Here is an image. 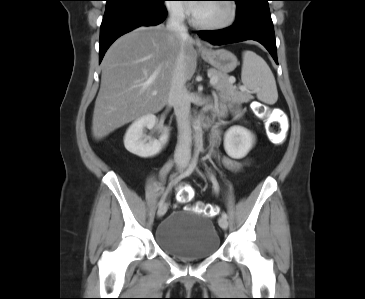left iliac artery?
<instances>
[{
	"label": "left iliac artery",
	"instance_id": "1",
	"mask_svg": "<svg viewBox=\"0 0 365 299\" xmlns=\"http://www.w3.org/2000/svg\"><path fill=\"white\" fill-rule=\"evenodd\" d=\"M209 177H210V180L213 183V187H214L215 191L218 192L219 191V184H218L216 178L212 174H209ZM222 217L227 219V214L225 212H222Z\"/></svg>",
	"mask_w": 365,
	"mask_h": 299
}]
</instances>
